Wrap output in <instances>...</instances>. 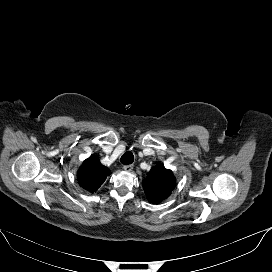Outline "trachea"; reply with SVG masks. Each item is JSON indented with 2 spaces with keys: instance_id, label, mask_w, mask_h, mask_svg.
Segmentation results:
<instances>
[{
  "instance_id": "3493384b",
  "label": "trachea",
  "mask_w": 272,
  "mask_h": 272,
  "mask_svg": "<svg viewBox=\"0 0 272 272\" xmlns=\"http://www.w3.org/2000/svg\"><path fill=\"white\" fill-rule=\"evenodd\" d=\"M120 161H121V163L124 164V165H129V164L133 163V161H134L133 153L130 152V151L125 152V153L122 155Z\"/></svg>"
}]
</instances>
